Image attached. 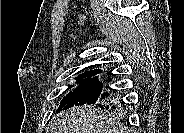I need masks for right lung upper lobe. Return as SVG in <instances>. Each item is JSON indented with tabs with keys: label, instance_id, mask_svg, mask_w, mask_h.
<instances>
[{
	"label": "right lung upper lobe",
	"instance_id": "obj_1",
	"mask_svg": "<svg viewBox=\"0 0 184 133\" xmlns=\"http://www.w3.org/2000/svg\"><path fill=\"white\" fill-rule=\"evenodd\" d=\"M101 72L102 71L100 69L85 71L84 73L80 74L77 78H87V77L95 76L96 74Z\"/></svg>",
	"mask_w": 184,
	"mask_h": 133
}]
</instances>
